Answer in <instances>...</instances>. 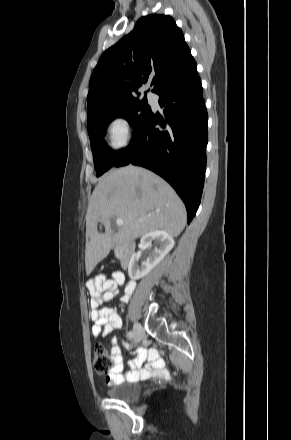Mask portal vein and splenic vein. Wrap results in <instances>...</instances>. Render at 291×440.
Wrapping results in <instances>:
<instances>
[{
	"mask_svg": "<svg viewBox=\"0 0 291 440\" xmlns=\"http://www.w3.org/2000/svg\"><path fill=\"white\" fill-rule=\"evenodd\" d=\"M116 224H117L118 226H123L124 222H123L122 219H116Z\"/></svg>",
	"mask_w": 291,
	"mask_h": 440,
	"instance_id": "obj_1",
	"label": "portal vein and splenic vein"
}]
</instances>
